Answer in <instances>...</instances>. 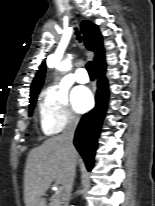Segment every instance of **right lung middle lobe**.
<instances>
[{"label": "right lung middle lobe", "instance_id": "right-lung-middle-lobe-1", "mask_svg": "<svg viewBox=\"0 0 155 206\" xmlns=\"http://www.w3.org/2000/svg\"><path fill=\"white\" fill-rule=\"evenodd\" d=\"M37 100V95L30 98V105H29V116L32 115V112L34 110V106Z\"/></svg>", "mask_w": 155, "mask_h": 206}]
</instances>
